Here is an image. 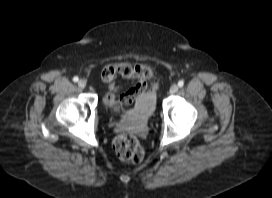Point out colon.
I'll return each instance as SVG.
<instances>
[{
  "label": "colon",
  "mask_w": 272,
  "mask_h": 198,
  "mask_svg": "<svg viewBox=\"0 0 272 198\" xmlns=\"http://www.w3.org/2000/svg\"><path fill=\"white\" fill-rule=\"evenodd\" d=\"M112 75V69L106 68L103 71V78ZM113 148L117 156L126 162L139 163L144 159V150L138 139L131 134H121L113 142Z\"/></svg>",
  "instance_id": "5ec220e1"
}]
</instances>
